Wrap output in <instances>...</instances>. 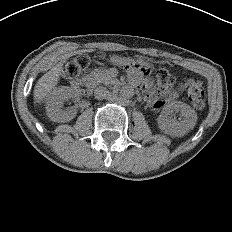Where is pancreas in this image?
I'll use <instances>...</instances> for the list:
<instances>
[{
	"mask_svg": "<svg viewBox=\"0 0 232 232\" xmlns=\"http://www.w3.org/2000/svg\"><path fill=\"white\" fill-rule=\"evenodd\" d=\"M101 74H102V76H103V78H104L105 80H110V79H111V77H110L107 73L102 72Z\"/></svg>",
	"mask_w": 232,
	"mask_h": 232,
	"instance_id": "pancreas-1",
	"label": "pancreas"
}]
</instances>
